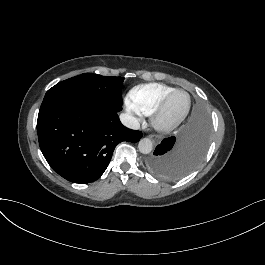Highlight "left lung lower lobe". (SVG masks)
I'll use <instances>...</instances> for the list:
<instances>
[{
  "instance_id": "1",
  "label": "left lung lower lobe",
  "mask_w": 265,
  "mask_h": 265,
  "mask_svg": "<svg viewBox=\"0 0 265 265\" xmlns=\"http://www.w3.org/2000/svg\"><path fill=\"white\" fill-rule=\"evenodd\" d=\"M210 138L209 118L197 104L176 136L165 138L146 161L149 172L163 179H178L194 170L205 156Z\"/></svg>"
}]
</instances>
